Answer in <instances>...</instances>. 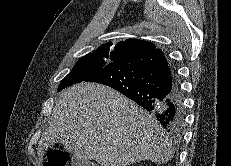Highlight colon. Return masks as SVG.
<instances>
[{
  "mask_svg": "<svg viewBox=\"0 0 231 166\" xmlns=\"http://www.w3.org/2000/svg\"><path fill=\"white\" fill-rule=\"evenodd\" d=\"M68 162L69 155L66 152L54 149L47 153L44 166H68Z\"/></svg>",
  "mask_w": 231,
  "mask_h": 166,
  "instance_id": "obj_1",
  "label": "colon"
}]
</instances>
